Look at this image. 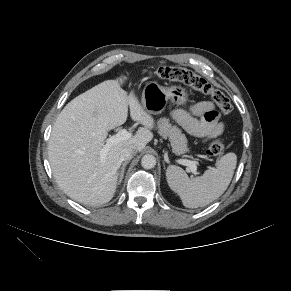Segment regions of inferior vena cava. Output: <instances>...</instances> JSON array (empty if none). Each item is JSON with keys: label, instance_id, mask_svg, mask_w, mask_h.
Returning a JSON list of instances; mask_svg holds the SVG:
<instances>
[{"label": "inferior vena cava", "instance_id": "inferior-vena-cava-1", "mask_svg": "<svg viewBox=\"0 0 291 291\" xmlns=\"http://www.w3.org/2000/svg\"><path fill=\"white\" fill-rule=\"evenodd\" d=\"M136 153L137 149L134 146L126 147L121 151L120 160L121 161L130 160L134 155H136Z\"/></svg>", "mask_w": 291, "mask_h": 291}]
</instances>
